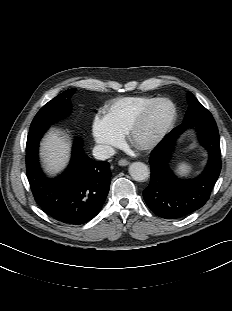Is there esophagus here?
<instances>
[{
    "label": "esophagus",
    "mask_w": 232,
    "mask_h": 311,
    "mask_svg": "<svg viewBox=\"0 0 232 311\" xmlns=\"http://www.w3.org/2000/svg\"><path fill=\"white\" fill-rule=\"evenodd\" d=\"M118 164H119L120 166H126V165L129 164V161H127V160H125V159H121V160L118 161Z\"/></svg>",
    "instance_id": "obj_1"
}]
</instances>
